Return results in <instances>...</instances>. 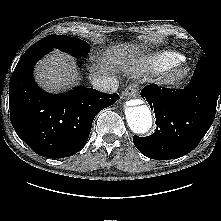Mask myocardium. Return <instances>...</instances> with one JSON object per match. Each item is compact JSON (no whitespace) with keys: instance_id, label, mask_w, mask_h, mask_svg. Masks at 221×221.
I'll return each instance as SVG.
<instances>
[{"instance_id":"f54148a6","label":"myocardium","mask_w":221,"mask_h":221,"mask_svg":"<svg viewBox=\"0 0 221 221\" xmlns=\"http://www.w3.org/2000/svg\"><path fill=\"white\" fill-rule=\"evenodd\" d=\"M189 69L187 67H179L172 71L168 76L167 80L170 82H179L184 80L188 75Z\"/></svg>"}]
</instances>
